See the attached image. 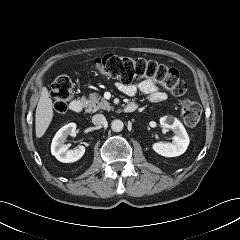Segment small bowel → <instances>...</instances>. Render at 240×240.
I'll list each match as a JSON object with an SVG mask.
<instances>
[{"instance_id":"c3829d8e","label":"small bowel","mask_w":240,"mask_h":240,"mask_svg":"<svg viewBox=\"0 0 240 240\" xmlns=\"http://www.w3.org/2000/svg\"><path fill=\"white\" fill-rule=\"evenodd\" d=\"M116 88L123 94L133 97L138 92L146 95L150 102L159 103L166 99V94L152 80H141L134 84L116 83Z\"/></svg>"}]
</instances>
